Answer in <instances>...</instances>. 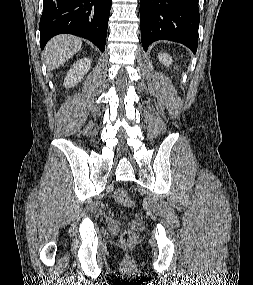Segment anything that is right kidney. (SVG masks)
I'll list each match as a JSON object with an SVG mask.
<instances>
[{
    "mask_svg": "<svg viewBox=\"0 0 253 285\" xmlns=\"http://www.w3.org/2000/svg\"><path fill=\"white\" fill-rule=\"evenodd\" d=\"M91 68V60L89 58H82L70 68L64 79V86L67 88L74 87L77 85L84 77V75Z\"/></svg>",
    "mask_w": 253,
    "mask_h": 285,
    "instance_id": "ca27d5eb",
    "label": "right kidney"
}]
</instances>
